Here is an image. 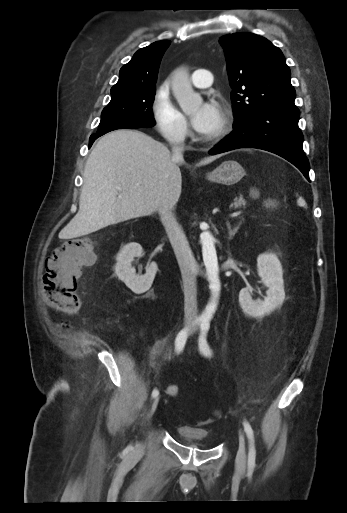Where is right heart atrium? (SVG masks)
Masks as SVG:
<instances>
[{"label": "right heart atrium", "instance_id": "obj_1", "mask_svg": "<svg viewBox=\"0 0 347 513\" xmlns=\"http://www.w3.org/2000/svg\"><path fill=\"white\" fill-rule=\"evenodd\" d=\"M150 110L156 130L167 142L181 144L186 140L190 133L189 124L174 103L167 81L156 88Z\"/></svg>", "mask_w": 347, "mask_h": 513}]
</instances>
